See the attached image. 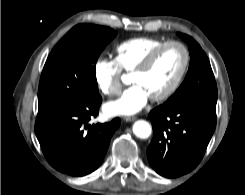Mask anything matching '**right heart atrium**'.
I'll return each mask as SVG.
<instances>
[{"label": "right heart atrium", "mask_w": 245, "mask_h": 195, "mask_svg": "<svg viewBox=\"0 0 245 195\" xmlns=\"http://www.w3.org/2000/svg\"><path fill=\"white\" fill-rule=\"evenodd\" d=\"M96 85L101 93L112 97L122 90L121 69L115 59L99 57L93 66Z\"/></svg>", "instance_id": "right-heart-atrium-1"}]
</instances>
